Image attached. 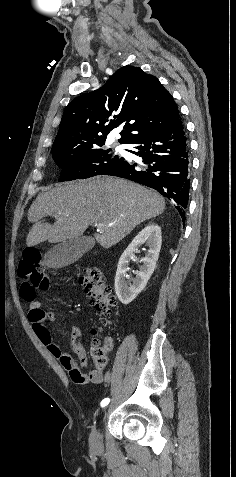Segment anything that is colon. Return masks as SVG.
Here are the masks:
<instances>
[{
    "label": "colon",
    "mask_w": 236,
    "mask_h": 477,
    "mask_svg": "<svg viewBox=\"0 0 236 477\" xmlns=\"http://www.w3.org/2000/svg\"><path fill=\"white\" fill-rule=\"evenodd\" d=\"M18 276L22 280L21 297L27 302L35 298L37 290L47 289L52 284L50 275L43 268L41 253L35 248H28L22 253L18 262ZM78 282L102 316L101 324L107 325L109 322L106 317L116 302L110 287L103 281L102 273L97 269H89ZM92 355L97 369H104L107 364L104 347L96 342L92 347Z\"/></svg>",
    "instance_id": "obj_1"
}]
</instances>
